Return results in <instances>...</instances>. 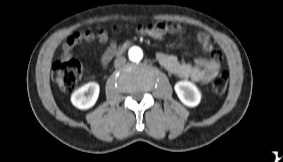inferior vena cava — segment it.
Here are the masks:
<instances>
[{
	"instance_id": "602c4592",
	"label": "inferior vena cava",
	"mask_w": 283,
	"mask_h": 162,
	"mask_svg": "<svg viewBox=\"0 0 283 162\" xmlns=\"http://www.w3.org/2000/svg\"><path fill=\"white\" fill-rule=\"evenodd\" d=\"M126 62V58L123 56L117 57L114 61V66L119 67L123 65Z\"/></svg>"
}]
</instances>
